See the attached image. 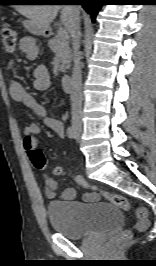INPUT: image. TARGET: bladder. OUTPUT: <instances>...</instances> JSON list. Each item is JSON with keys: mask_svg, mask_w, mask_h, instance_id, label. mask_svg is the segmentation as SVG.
I'll list each match as a JSON object with an SVG mask.
<instances>
[{"mask_svg": "<svg viewBox=\"0 0 156 266\" xmlns=\"http://www.w3.org/2000/svg\"><path fill=\"white\" fill-rule=\"evenodd\" d=\"M51 227L69 239H81L121 224L118 207L107 203L52 202L47 207Z\"/></svg>", "mask_w": 156, "mask_h": 266, "instance_id": "31cf9c89", "label": "bladder"}]
</instances>
